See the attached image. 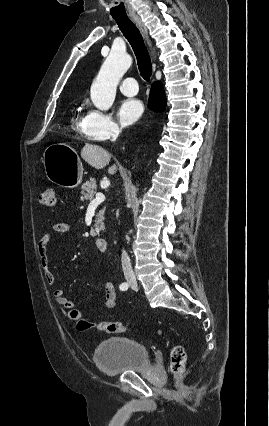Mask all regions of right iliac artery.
Here are the masks:
<instances>
[{
    "label": "right iliac artery",
    "instance_id": "1",
    "mask_svg": "<svg viewBox=\"0 0 269 426\" xmlns=\"http://www.w3.org/2000/svg\"><path fill=\"white\" fill-rule=\"evenodd\" d=\"M128 287H129L128 283H122V284L120 285V290L125 291V290H127V289H128Z\"/></svg>",
    "mask_w": 269,
    "mask_h": 426
}]
</instances>
